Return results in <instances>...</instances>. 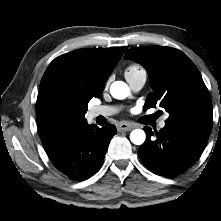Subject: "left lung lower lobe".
<instances>
[{"instance_id": "1", "label": "left lung lower lobe", "mask_w": 221, "mask_h": 221, "mask_svg": "<svg viewBox=\"0 0 221 221\" xmlns=\"http://www.w3.org/2000/svg\"><path fill=\"white\" fill-rule=\"evenodd\" d=\"M148 138L138 149V155L151 172L177 175L188 169L203 151L205 140L187 130L165 126L152 139L151 128L144 127Z\"/></svg>"}]
</instances>
